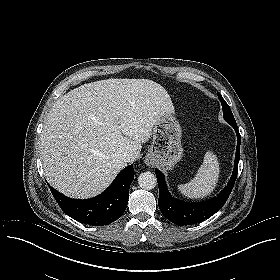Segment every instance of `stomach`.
Wrapping results in <instances>:
<instances>
[{
  "instance_id": "1",
  "label": "stomach",
  "mask_w": 280,
  "mask_h": 280,
  "mask_svg": "<svg viewBox=\"0 0 280 280\" xmlns=\"http://www.w3.org/2000/svg\"><path fill=\"white\" fill-rule=\"evenodd\" d=\"M152 142L146 160L163 169H172L183 157L182 129L171 115L161 117L152 129Z\"/></svg>"
}]
</instances>
